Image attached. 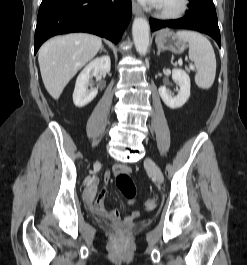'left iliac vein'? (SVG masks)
<instances>
[{
  "label": "left iliac vein",
  "mask_w": 247,
  "mask_h": 265,
  "mask_svg": "<svg viewBox=\"0 0 247 265\" xmlns=\"http://www.w3.org/2000/svg\"><path fill=\"white\" fill-rule=\"evenodd\" d=\"M146 169L153 175L158 184H162L164 176L159 166L150 158H146L144 161Z\"/></svg>",
  "instance_id": "4c4485c4"
}]
</instances>
